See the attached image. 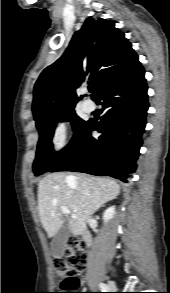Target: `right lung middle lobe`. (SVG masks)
Masks as SVG:
<instances>
[{
	"label": "right lung middle lobe",
	"instance_id": "obj_1",
	"mask_svg": "<svg viewBox=\"0 0 170 293\" xmlns=\"http://www.w3.org/2000/svg\"><path fill=\"white\" fill-rule=\"evenodd\" d=\"M59 121H70L73 125L74 134L70 143L63 150L60 152H55L53 150L51 139L56 124ZM85 123L86 121L79 118L75 114L74 110L71 109L62 113L50 123L38 128L40 138L37 146L36 159L33 164V169L36 176L49 171L57 163V161L68 150Z\"/></svg>",
	"mask_w": 170,
	"mask_h": 293
}]
</instances>
